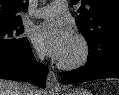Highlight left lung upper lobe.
<instances>
[{
    "mask_svg": "<svg viewBox=\"0 0 119 95\" xmlns=\"http://www.w3.org/2000/svg\"><path fill=\"white\" fill-rule=\"evenodd\" d=\"M71 3H81L76 24L93 57L102 60L119 47V0H71Z\"/></svg>",
    "mask_w": 119,
    "mask_h": 95,
    "instance_id": "left-lung-upper-lobe-1",
    "label": "left lung upper lobe"
}]
</instances>
